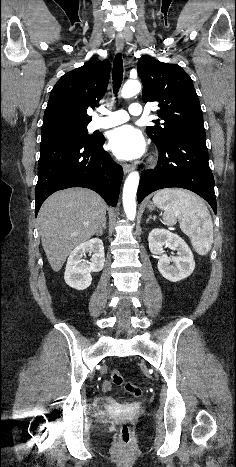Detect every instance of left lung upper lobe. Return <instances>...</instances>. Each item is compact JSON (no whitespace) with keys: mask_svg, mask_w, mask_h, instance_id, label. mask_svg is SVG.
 <instances>
[{"mask_svg":"<svg viewBox=\"0 0 236 467\" xmlns=\"http://www.w3.org/2000/svg\"><path fill=\"white\" fill-rule=\"evenodd\" d=\"M137 69L143 83L145 103L158 102L159 120L156 126L147 127V135L157 145H164L182 132L205 131L203 114L190 76L178 65L160 62L143 56Z\"/></svg>","mask_w":236,"mask_h":467,"instance_id":"5c2ea615","label":"left lung upper lobe"}]
</instances>
